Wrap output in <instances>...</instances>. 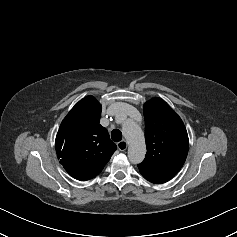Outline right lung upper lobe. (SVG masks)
I'll list each match as a JSON object with an SVG mask.
<instances>
[{
    "mask_svg": "<svg viewBox=\"0 0 237 237\" xmlns=\"http://www.w3.org/2000/svg\"><path fill=\"white\" fill-rule=\"evenodd\" d=\"M101 104L87 96L63 119L55 147L64 169L75 179L89 180L98 175L116 151L100 122Z\"/></svg>",
    "mask_w": 237,
    "mask_h": 237,
    "instance_id": "obj_1",
    "label": "right lung upper lobe"
}]
</instances>
